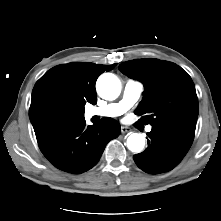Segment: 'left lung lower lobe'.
<instances>
[{
	"instance_id": "obj_1",
	"label": "left lung lower lobe",
	"mask_w": 221,
	"mask_h": 221,
	"mask_svg": "<svg viewBox=\"0 0 221 221\" xmlns=\"http://www.w3.org/2000/svg\"><path fill=\"white\" fill-rule=\"evenodd\" d=\"M147 135V149L133 158L140 169L150 174L175 168L188 152L194 138L165 126H153Z\"/></svg>"
}]
</instances>
